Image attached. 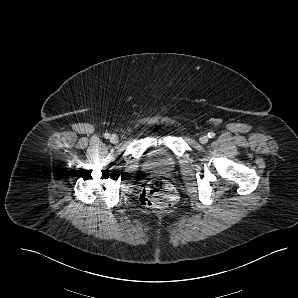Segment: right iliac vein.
Segmentation results:
<instances>
[{"mask_svg":"<svg viewBox=\"0 0 298 298\" xmlns=\"http://www.w3.org/2000/svg\"><path fill=\"white\" fill-rule=\"evenodd\" d=\"M118 141H119V137L116 134H112L110 136V142L111 143L116 144V143H118Z\"/></svg>","mask_w":298,"mask_h":298,"instance_id":"63e3f726","label":"right iliac vein"}]
</instances>
